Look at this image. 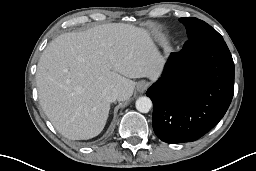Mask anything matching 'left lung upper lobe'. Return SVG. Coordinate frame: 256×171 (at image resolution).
I'll list each match as a JSON object with an SVG mask.
<instances>
[{"label": "left lung upper lobe", "mask_w": 256, "mask_h": 171, "mask_svg": "<svg viewBox=\"0 0 256 171\" xmlns=\"http://www.w3.org/2000/svg\"><path fill=\"white\" fill-rule=\"evenodd\" d=\"M179 20L185 25L189 40L196 38L222 39V36L215 29L200 19L183 17Z\"/></svg>", "instance_id": "1"}]
</instances>
